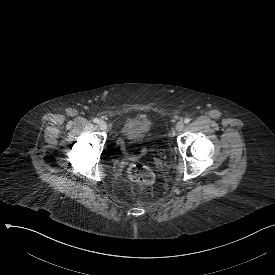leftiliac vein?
<instances>
[{
    "label": "left iliac vein",
    "mask_w": 275,
    "mask_h": 275,
    "mask_svg": "<svg viewBox=\"0 0 275 275\" xmlns=\"http://www.w3.org/2000/svg\"><path fill=\"white\" fill-rule=\"evenodd\" d=\"M183 129H184V122L179 121V122L177 123V125H176V131H177L178 133H180L181 131H183Z\"/></svg>",
    "instance_id": "left-iliac-vein-1"
}]
</instances>
